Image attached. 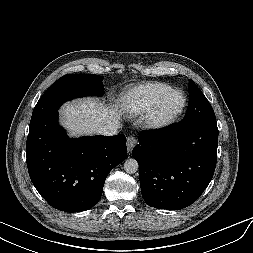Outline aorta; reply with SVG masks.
Listing matches in <instances>:
<instances>
[{
    "label": "aorta",
    "mask_w": 253,
    "mask_h": 253,
    "mask_svg": "<svg viewBox=\"0 0 253 253\" xmlns=\"http://www.w3.org/2000/svg\"><path fill=\"white\" fill-rule=\"evenodd\" d=\"M138 168V162L133 158L127 159L124 163V170L129 174L136 173Z\"/></svg>",
    "instance_id": "1"
}]
</instances>
